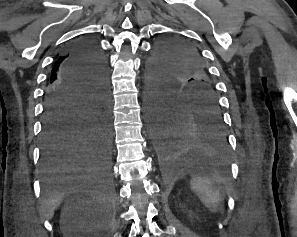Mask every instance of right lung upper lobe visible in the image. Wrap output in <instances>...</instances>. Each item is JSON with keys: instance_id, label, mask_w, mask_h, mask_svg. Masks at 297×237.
I'll use <instances>...</instances> for the list:
<instances>
[{"instance_id": "1", "label": "right lung upper lobe", "mask_w": 297, "mask_h": 237, "mask_svg": "<svg viewBox=\"0 0 297 237\" xmlns=\"http://www.w3.org/2000/svg\"><path fill=\"white\" fill-rule=\"evenodd\" d=\"M69 52L65 53L63 56H60L53 66L51 76H50V84H55L61 82L63 80V67L68 58Z\"/></svg>"}]
</instances>
